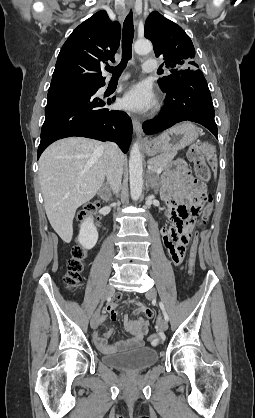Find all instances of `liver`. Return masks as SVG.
<instances>
[{
	"label": "liver",
	"instance_id": "obj_1",
	"mask_svg": "<svg viewBox=\"0 0 255 418\" xmlns=\"http://www.w3.org/2000/svg\"><path fill=\"white\" fill-rule=\"evenodd\" d=\"M105 144L70 137L50 145L39 160V181L48 220L65 243L73 236L77 208L90 201L105 179ZM124 163L125 157L121 153Z\"/></svg>",
	"mask_w": 255,
	"mask_h": 418
}]
</instances>
